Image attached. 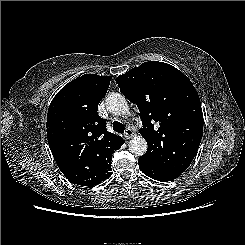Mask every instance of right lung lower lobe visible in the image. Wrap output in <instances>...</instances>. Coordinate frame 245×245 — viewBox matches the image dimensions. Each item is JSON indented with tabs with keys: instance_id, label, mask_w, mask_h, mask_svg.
<instances>
[{
	"instance_id": "right-lung-lower-lobe-1",
	"label": "right lung lower lobe",
	"mask_w": 245,
	"mask_h": 245,
	"mask_svg": "<svg viewBox=\"0 0 245 245\" xmlns=\"http://www.w3.org/2000/svg\"><path fill=\"white\" fill-rule=\"evenodd\" d=\"M115 150L111 152L105 150H99L96 152V155L94 156L95 167L96 170L100 173L101 181L106 180L112 174L111 160H112V154L115 152ZM59 168L70 182L80 185L79 184L80 178L78 176V172L76 171V168H74L73 166H69V167L59 166Z\"/></svg>"
}]
</instances>
